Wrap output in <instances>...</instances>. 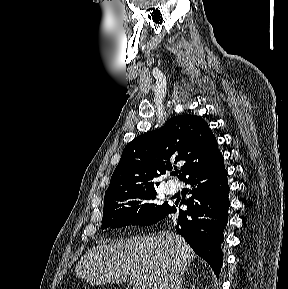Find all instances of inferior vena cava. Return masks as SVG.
I'll use <instances>...</instances> for the list:
<instances>
[{"label":"inferior vena cava","instance_id":"602c4592","mask_svg":"<svg viewBox=\"0 0 288 289\" xmlns=\"http://www.w3.org/2000/svg\"><path fill=\"white\" fill-rule=\"evenodd\" d=\"M179 287V271L175 267H169L164 271L163 279L159 285V289H178Z\"/></svg>","mask_w":288,"mask_h":289}]
</instances>
